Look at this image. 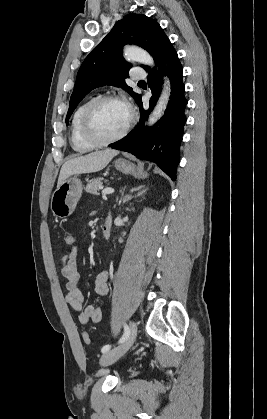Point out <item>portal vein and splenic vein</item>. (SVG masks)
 <instances>
[{"label":"portal vein and splenic vein","instance_id":"obj_1","mask_svg":"<svg viewBox=\"0 0 267 419\" xmlns=\"http://www.w3.org/2000/svg\"><path fill=\"white\" fill-rule=\"evenodd\" d=\"M113 192H114V189H112V188H105V189L102 190V196H106V195L112 194Z\"/></svg>","mask_w":267,"mask_h":419}]
</instances>
